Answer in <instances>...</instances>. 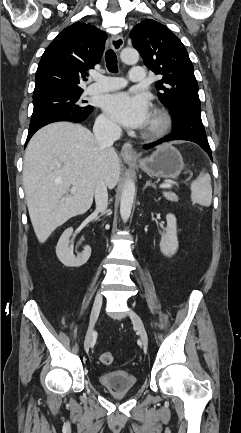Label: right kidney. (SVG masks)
I'll return each mask as SVG.
<instances>
[{"label": "right kidney", "mask_w": 241, "mask_h": 433, "mask_svg": "<svg viewBox=\"0 0 241 433\" xmlns=\"http://www.w3.org/2000/svg\"><path fill=\"white\" fill-rule=\"evenodd\" d=\"M72 234L73 228H68L63 232L56 246V254L60 262L65 266L80 267L88 261L91 255V248L90 246H85L82 253L75 256L69 248Z\"/></svg>", "instance_id": "obj_1"}]
</instances>
